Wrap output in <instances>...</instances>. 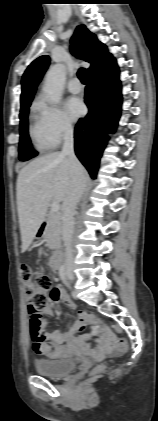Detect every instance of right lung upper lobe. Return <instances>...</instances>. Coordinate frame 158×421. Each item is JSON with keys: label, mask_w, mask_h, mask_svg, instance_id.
<instances>
[{"label": "right lung upper lobe", "mask_w": 158, "mask_h": 421, "mask_svg": "<svg viewBox=\"0 0 158 421\" xmlns=\"http://www.w3.org/2000/svg\"><path fill=\"white\" fill-rule=\"evenodd\" d=\"M71 52L85 61L91 63L89 75L102 68L111 58L107 47L98 41L95 34L91 33L85 25L76 28L71 39ZM49 57L40 56L26 69L22 77L21 105L32 101L44 72L49 65Z\"/></svg>", "instance_id": "right-lung-upper-lobe-1"}]
</instances>
